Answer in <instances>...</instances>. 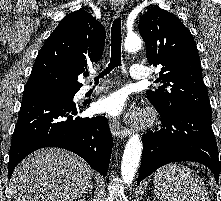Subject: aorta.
Here are the masks:
<instances>
[{
    "label": "aorta",
    "mask_w": 221,
    "mask_h": 201,
    "mask_svg": "<svg viewBox=\"0 0 221 201\" xmlns=\"http://www.w3.org/2000/svg\"><path fill=\"white\" fill-rule=\"evenodd\" d=\"M125 49L128 52H136L141 46L142 42L140 37L137 34H131L125 39ZM142 153V142L138 134H133L124 149V154L121 164V176L125 184H131L137 168L140 162Z\"/></svg>",
    "instance_id": "obj_1"
}]
</instances>
